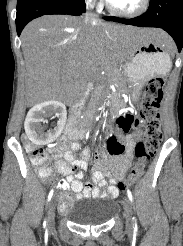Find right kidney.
<instances>
[{
	"label": "right kidney",
	"mask_w": 183,
	"mask_h": 246,
	"mask_svg": "<svg viewBox=\"0 0 183 246\" xmlns=\"http://www.w3.org/2000/svg\"><path fill=\"white\" fill-rule=\"evenodd\" d=\"M55 114L59 117L57 129L45 133L41 123L47 122V118ZM65 106L55 100L46 101L35 105L30 109L25 120V132L28 138L36 145H46L55 140L61 133L66 122Z\"/></svg>",
	"instance_id": "ca27d5eb"
}]
</instances>
